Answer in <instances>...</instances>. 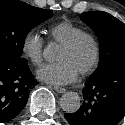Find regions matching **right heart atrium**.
Segmentation results:
<instances>
[{"mask_svg": "<svg viewBox=\"0 0 125 125\" xmlns=\"http://www.w3.org/2000/svg\"><path fill=\"white\" fill-rule=\"evenodd\" d=\"M44 39L36 32H28L21 44V51L34 66H39L43 60Z\"/></svg>", "mask_w": 125, "mask_h": 125, "instance_id": "right-heart-atrium-1", "label": "right heart atrium"}]
</instances>
